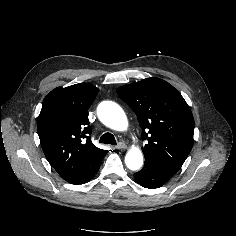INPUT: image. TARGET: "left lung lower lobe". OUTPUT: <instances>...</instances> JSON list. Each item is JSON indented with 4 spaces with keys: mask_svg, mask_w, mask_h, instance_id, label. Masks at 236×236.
<instances>
[{
    "mask_svg": "<svg viewBox=\"0 0 236 236\" xmlns=\"http://www.w3.org/2000/svg\"><path fill=\"white\" fill-rule=\"evenodd\" d=\"M176 173L161 168L156 162L145 159L144 167L141 171L134 174L138 184L145 188L154 189L163 186Z\"/></svg>",
    "mask_w": 236,
    "mask_h": 236,
    "instance_id": "left-lung-lower-lobe-1",
    "label": "left lung lower lobe"
}]
</instances>
